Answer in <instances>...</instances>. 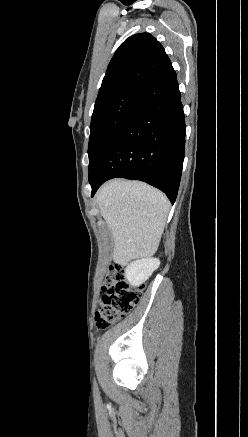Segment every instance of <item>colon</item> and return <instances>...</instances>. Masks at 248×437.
Returning <instances> with one entry per match:
<instances>
[{
	"label": "colon",
	"mask_w": 248,
	"mask_h": 437,
	"mask_svg": "<svg viewBox=\"0 0 248 437\" xmlns=\"http://www.w3.org/2000/svg\"><path fill=\"white\" fill-rule=\"evenodd\" d=\"M143 295L142 287H132L125 278V266L110 267L102 286L100 305L95 315V324L101 329L129 314Z\"/></svg>",
	"instance_id": "5ec220e1"
}]
</instances>
